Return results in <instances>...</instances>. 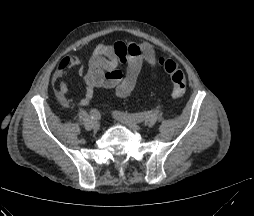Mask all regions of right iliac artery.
<instances>
[{
	"mask_svg": "<svg viewBox=\"0 0 254 216\" xmlns=\"http://www.w3.org/2000/svg\"><path fill=\"white\" fill-rule=\"evenodd\" d=\"M90 117H91V119H100L101 118V114H100V112L97 110V109H92L91 111H90Z\"/></svg>",
	"mask_w": 254,
	"mask_h": 216,
	"instance_id": "obj_1",
	"label": "right iliac artery"
}]
</instances>
